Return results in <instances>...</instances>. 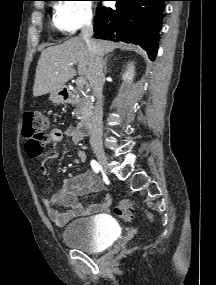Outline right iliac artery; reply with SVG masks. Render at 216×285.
<instances>
[{"label":"right iliac artery","mask_w":216,"mask_h":285,"mask_svg":"<svg viewBox=\"0 0 216 285\" xmlns=\"http://www.w3.org/2000/svg\"><path fill=\"white\" fill-rule=\"evenodd\" d=\"M91 166L96 173H98L101 169L100 165L95 160L91 161Z\"/></svg>","instance_id":"obj_1"}]
</instances>
